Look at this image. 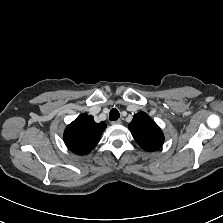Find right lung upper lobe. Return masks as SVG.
<instances>
[{"mask_svg": "<svg viewBox=\"0 0 223 223\" xmlns=\"http://www.w3.org/2000/svg\"><path fill=\"white\" fill-rule=\"evenodd\" d=\"M105 128L104 122L96 123L92 116L81 114L67 126L65 144L75 154L85 155L97 145Z\"/></svg>", "mask_w": 223, "mask_h": 223, "instance_id": "right-lung-upper-lobe-1", "label": "right lung upper lobe"}]
</instances>
